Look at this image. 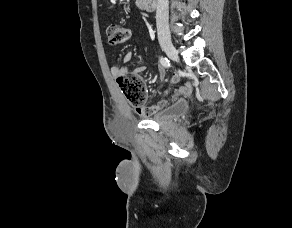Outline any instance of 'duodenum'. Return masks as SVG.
Returning a JSON list of instances; mask_svg holds the SVG:
<instances>
[{
	"instance_id": "1",
	"label": "duodenum",
	"mask_w": 292,
	"mask_h": 228,
	"mask_svg": "<svg viewBox=\"0 0 292 228\" xmlns=\"http://www.w3.org/2000/svg\"><path fill=\"white\" fill-rule=\"evenodd\" d=\"M138 5L145 11H153L156 7V0H137Z\"/></svg>"
}]
</instances>
